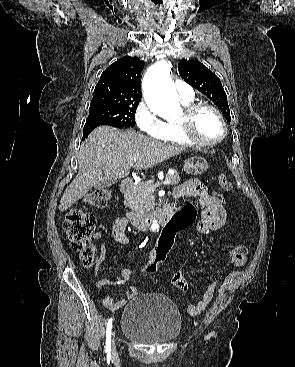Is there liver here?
I'll list each match as a JSON object with an SVG mask.
<instances>
[{
  "label": "liver",
  "mask_w": 295,
  "mask_h": 367,
  "mask_svg": "<svg viewBox=\"0 0 295 367\" xmlns=\"http://www.w3.org/2000/svg\"><path fill=\"white\" fill-rule=\"evenodd\" d=\"M184 151L183 147L158 142L133 129L97 127L80 146L79 171L66 188L59 210L69 209L100 181H117L127 177L132 166L136 170L149 169Z\"/></svg>",
  "instance_id": "obj_1"
}]
</instances>
